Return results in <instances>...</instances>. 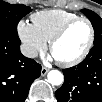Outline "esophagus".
<instances>
[{
  "instance_id": "34e87169",
  "label": "esophagus",
  "mask_w": 102,
  "mask_h": 102,
  "mask_svg": "<svg viewBox=\"0 0 102 102\" xmlns=\"http://www.w3.org/2000/svg\"><path fill=\"white\" fill-rule=\"evenodd\" d=\"M48 71H49V68L43 66L42 69H41V75L45 76Z\"/></svg>"
}]
</instances>
